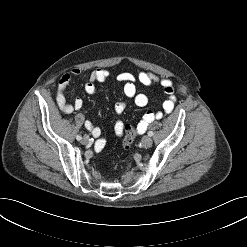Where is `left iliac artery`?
Instances as JSON below:
<instances>
[{
    "label": "left iliac artery",
    "mask_w": 247,
    "mask_h": 247,
    "mask_svg": "<svg viewBox=\"0 0 247 247\" xmlns=\"http://www.w3.org/2000/svg\"><path fill=\"white\" fill-rule=\"evenodd\" d=\"M148 135H149V136H152V135H153V132H152V131H149V132H148Z\"/></svg>",
    "instance_id": "left-iliac-artery-1"
}]
</instances>
